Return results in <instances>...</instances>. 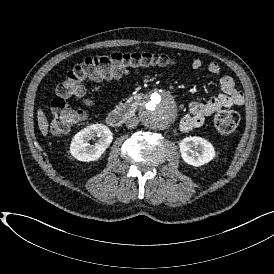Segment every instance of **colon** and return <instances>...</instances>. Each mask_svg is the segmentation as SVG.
<instances>
[{"label": "colon", "instance_id": "5ec220e1", "mask_svg": "<svg viewBox=\"0 0 274 274\" xmlns=\"http://www.w3.org/2000/svg\"><path fill=\"white\" fill-rule=\"evenodd\" d=\"M172 60L164 54L114 52L85 58L71 68L56 86V95L51 100V135H64L82 118L79 110L67 103L70 97L85 98L87 83L116 79L127 75L137 67L167 66ZM240 122L239 114L233 110L217 112L214 124L220 134L233 133Z\"/></svg>", "mask_w": 274, "mask_h": 274}]
</instances>
